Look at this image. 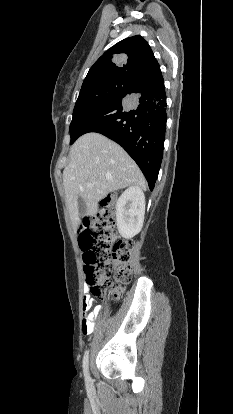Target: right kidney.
I'll return each instance as SVG.
<instances>
[{
	"label": "right kidney",
	"instance_id": "1",
	"mask_svg": "<svg viewBox=\"0 0 233 414\" xmlns=\"http://www.w3.org/2000/svg\"><path fill=\"white\" fill-rule=\"evenodd\" d=\"M145 214V196L141 188L126 189L116 203V221L120 235L131 238L142 228Z\"/></svg>",
	"mask_w": 233,
	"mask_h": 414
}]
</instances>
